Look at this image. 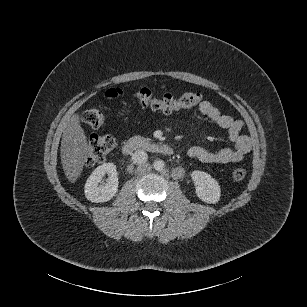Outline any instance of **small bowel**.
Instances as JSON below:
<instances>
[{"label": "small bowel", "mask_w": 307, "mask_h": 307, "mask_svg": "<svg viewBox=\"0 0 307 307\" xmlns=\"http://www.w3.org/2000/svg\"><path fill=\"white\" fill-rule=\"evenodd\" d=\"M198 108L212 124L227 130L228 138L233 146L217 151H209L203 147L194 146L188 149L187 155L205 164H228L241 161L252 148L250 138L242 133L243 123L222 113L210 101H202Z\"/></svg>", "instance_id": "1"}]
</instances>
